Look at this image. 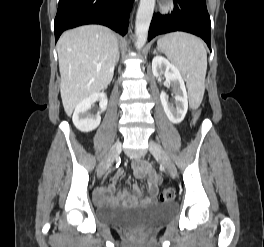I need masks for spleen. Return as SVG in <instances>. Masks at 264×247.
Masks as SVG:
<instances>
[{
  "mask_svg": "<svg viewBox=\"0 0 264 247\" xmlns=\"http://www.w3.org/2000/svg\"><path fill=\"white\" fill-rule=\"evenodd\" d=\"M159 49L186 78L191 101L199 105L205 91L207 52L203 42L188 33L176 32L157 42Z\"/></svg>",
  "mask_w": 264,
  "mask_h": 247,
  "instance_id": "3e777b00",
  "label": "spleen"
}]
</instances>
